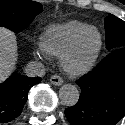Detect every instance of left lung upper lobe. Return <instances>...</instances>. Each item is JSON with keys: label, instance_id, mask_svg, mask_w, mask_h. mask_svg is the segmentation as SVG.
<instances>
[{"label": "left lung upper lobe", "instance_id": "5c2ea615", "mask_svg": "<svg viewBox=\"0 0 125 125\" xmlns=\"http://www.w3.org/2000/svg\"><path fill=\"white\" fill-rule=\"evenodd\" d=\"M106 48L112 51L125 47V22L112 14L104 19Z\"/></svg>", "mask_w": 125, "mask_h": 125}]
</instances>
